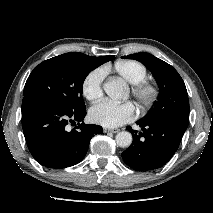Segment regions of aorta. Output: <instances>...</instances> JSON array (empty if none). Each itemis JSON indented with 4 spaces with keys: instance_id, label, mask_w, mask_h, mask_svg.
Listing matches in <instances>:
<instances>
[{
    "instance_id": "762f6f07",
    "label": "aorta",
    "mask_w": 213,
    "mask_h": 213,
    "mask_svg": "<svg viewBox=\"0 0 213 213\" xmlns=\"http://www.w3.org/2000/svg\"><path fill=\"white\" fill-rule=\"evenodd\" d=\"M105 93L113 99L122 98L124 94V86L118 81L112 80L103 85ZM132 135L128 131L119 132L116 135V143L119 147L125 148L132 144Z\"/></svg>"
}]
</instances>
